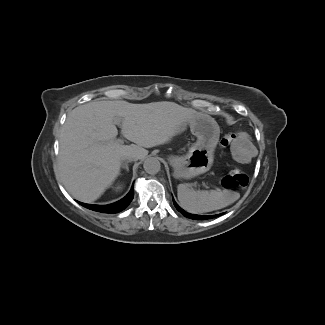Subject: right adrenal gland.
I'll list each match as a JSON object with an SVG mask.
<instances>
[{
  "label": "right adrenal gland",
  "mask_w": 325,
  "mask_h": 325,
  "mask_svg": "<svg viewBox=\"0 0 325 325\" xmlns=\"http://www.w3.org/2000/svg\"><path fill=\"white\" fill-rule=\"evenodd\" d=\"M122 169H125L127 172H129V165L127 163L123 164Z\"/></svg>",
  "instance_id": "obj_1"
}]
</instances>
